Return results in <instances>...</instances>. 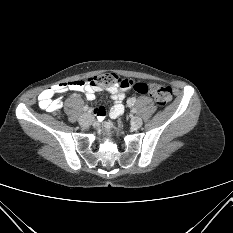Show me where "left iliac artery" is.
<instances>
[{
	"label": "left iliac artery",
	"mask_w": 233,
	"mask_h": 233,
	"mask_svg": "<svg viewBox=\"0 0 233 233\" xmlns=\"http://www.w3.org/2000/svg\"><path fill=\"white\" fill-rule=\"evenodd\" d=\"M132 112H133V113H136V112H137V109H136V108H133V109H132Z\"/></svg>",
	"instance_id": "44dca946"
}]
</instances>
